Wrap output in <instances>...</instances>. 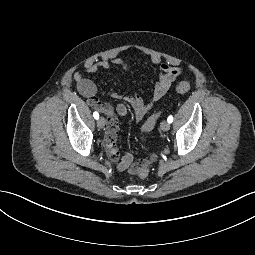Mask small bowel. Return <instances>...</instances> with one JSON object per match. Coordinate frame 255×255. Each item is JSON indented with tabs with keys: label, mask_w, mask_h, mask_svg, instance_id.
I'll list each match as a JSON object with an SVG mask.
<instances>
[{
	"label": "small bowel",
	"mask_w": 255,
	"mask_h": 255,
	"mask_svg": "<svg viewBox=\"0 0 255 255\" xmlns=\"http://www.w3.org/2000/svg\"><path fill=\"white\" fill-rule=\"evenodd\" d=\"M152 64L159 65V79L153 87L151 100L146 102L137 94L121 95L113 93L112 97L121 100L116 107L111 104L102 102L97 98V88L95 83L89 78L85 77L80 72L74 73V79L77 84V89L80 94L86 98L88 104L93 108L107 116L106 138L104 146L106 153L110 160L116 163L119 172L136 173L140 167L147 166L158 158L157 153L150 154L146 159L132 164L133 157L130 153L120 156L116 146L118 123L116 115L125 116L128 112V106L133 110L134 117L137 121L142 120L148 112L152 109L154 103L159 101L169 90L172 83L181 75V68L170 62H162L160 58L154 57L151 59ZM112 67H118L126 70L125 64L121 58L115 57L112 59H99L96 61H88L85 63V69L88 72L96 73L99 70H108ZM144 138H142L143 140Z\"/></svg>",
	"instance_id": "1"
}]
</instances>
